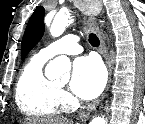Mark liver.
<instances>
[{"mask_svg":"<svg viewBox=\"0 0 145 124\" xmlns=\"http://www.w3.org/2000/svg\"><path fill=\"white\" fill-rule=\"evenodd\" d=\"M23 124H72L66 118H25Z\"/></svg>","mask_w":145,"mask_h":124,"instance_id":"obj_1","label":"liver"}]
</instances>
